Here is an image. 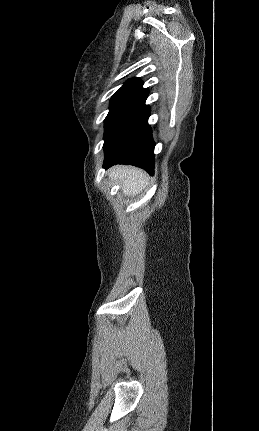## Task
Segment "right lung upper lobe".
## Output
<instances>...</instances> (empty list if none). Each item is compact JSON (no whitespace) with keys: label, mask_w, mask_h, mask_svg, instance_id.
I'll list each match as a JSON object with an SVG mask.
<instances>
[{"label":"right lung upper lobe","mask_w":259,"mask_h":431,"mask_svg":"<svg viewBox=\"0 0 259 431\" xmlns=\"http://www.w3.org/2000/svg\"><path fill=\"white\" fill-rule=\"evenodd\" d=\"M142 85H143V83L140 80V78H132V79L128 80L117 92L120 93V92H123V91H125L127 89H130V93L134 89L148 90V89H143Z\"/></svg>","instance_id":"1"}]
</instances>
